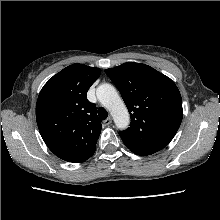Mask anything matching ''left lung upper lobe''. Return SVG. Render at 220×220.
Here are the masks:
<instances>
[{
  "mask_svg": "<svg viewBox=\"0 0 220 220\" xmlns=\"http://www.w3.org/2000/svg\"><path fill=\"white\" fill-rule=\"evenodd\" d=\"M120 91L131 126L119 133L132 151L155 153L173 139L183 117L175 83L152 67L127 62L105 70Z\"/></svg>",
  "mask_w": 220,
  "mask_h": 220,
  "instance_id": "left-lung-upper-lobe-1",
  "label": "left lung upper lobe"
}]
</instances>
